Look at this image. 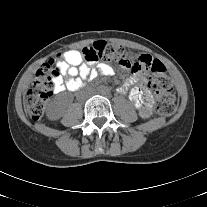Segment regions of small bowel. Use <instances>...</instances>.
I'll use <instances>...</instances> for the list:
<instances>
[{
	"label": "small bowel",
	"mask_w": 207,
	"mask_h": 207,
	"mask_svg": "<svg viewBox=\"0 0 207 207\" xmlns=\"http://www.w3.org/2000/svg\"><path fill=\"white\" fill-rule=\"evenodd\" d=\"M59 76L55 80L54 92L61 93L65 90L76 91L80 89L88 79L98 76H112L114 68L108 63L93 65L84 61L83 56L78 50H69L64 53L63 61L57 64ZM129 72V76L118 88L122 94L127 93L135 108L143 118H148L152 114L151 97L149 94L144 96L143 87L146 79L141 71Z\"/></svg>",
	"instance_id": "obj_1"
}]
</instances>
